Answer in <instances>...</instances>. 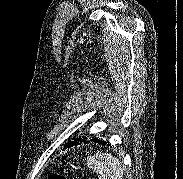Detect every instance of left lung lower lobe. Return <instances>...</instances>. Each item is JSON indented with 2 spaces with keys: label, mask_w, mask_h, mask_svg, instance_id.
<instances>
[{
  "label": "left lung lower lobe",
  "mask_w": 183,
  "mask_h": 179,
  "mask_svg": "<svg viewBox=\"0 0 183 179\" xmlns=\"http://www.w3.org/2000/svg\"><path fill=\"white\" fill-rule=\"evenodd\" d=\"M80 142H82V140L79 138H77V139H74V141H71V142H68V144L66 145L67 147H71V146H73V145H77V144H79ZM94 142H99V143H102V144H106V142L105 141H102V140H99V139H97V138H94ZM109 145V144H108Z\"/></svg>",
  "instance_id": "left-lung-lower-lobe-1"
}]
</instances>
